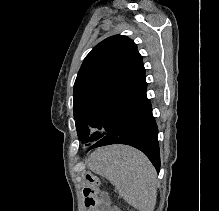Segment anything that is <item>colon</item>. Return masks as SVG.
Returning a JSON list of instances; mask_svg holds the SVG:
<instances>
[{"instance_id":"5ec220e1","label":"colon","mask_w":219,"mask_h":211,"mask_svg":"<svg viewBox=\"0 0 219 211\" xmlns=\"http://www.w3.org/2000/svg\"><path fill=\"white\" fill-rule=\"evenodd\" d=\"M86 187L84 188L85 205L88 211H97L101 202L100 179L92 174L85 175Z\"/></svg>"}]
</instances>
